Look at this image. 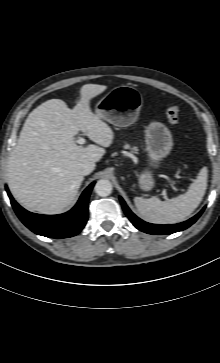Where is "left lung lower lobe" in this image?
I'll use <instances>...</instances> for the list:
<instances>
[{
    "instance_id": "left-lung-lower-lobe-1",
    "label": "left lung lower lobe",
    "mask_w": 220,
    "mask_h": 363,
    "mask_svg": "<svg viewBox=\"0 0 220 363\" xmlns=\"http://www.w3.org/2000/svg\"><path fill=\"white\" fill-rule=\"evenodd\" d=\"M120 201L121 204L123 206L124 212L126 214V216L129 218V220L132 222V224L139 230L148 233V234H160V235H165V234H172L178 231H182L186 228H188L189 226H191L199 217L200 215L203 213L204 209L203 208L197 215H195L194 217H192L191 219L179 223V224H174V225H156V224H150L147 223L143 220H141L140 218H138L136 215H134L130 209L127 207V205L125 204L124 200L120 197Z\"/></svg>"
}]
</instances>
